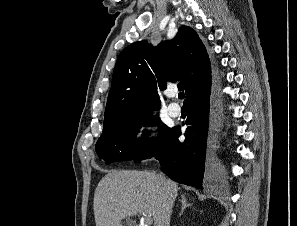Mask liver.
<instances>
[{
    "label": "liver",
    "mask_w": 297,
    "mask_h": 226,
    "mask_svg": "<svg viewBox=\"0 0 297 226\" xmlns=\"http://www.w3.org/2000/svg\"><path fill=\"white\" fill-rule=\"evenodd\" d=\"M178 186L155 172L136 170L109 171L98 183L94 194L96 226H127L130 217L151 215L154 226H170Z\"/></svg>",
    "instance_id": "6515ba94"
}]
</instances>
